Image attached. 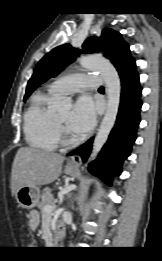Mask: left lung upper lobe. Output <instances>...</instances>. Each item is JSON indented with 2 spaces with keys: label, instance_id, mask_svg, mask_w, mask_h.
<instances>
[{
  "label": "left lung upper lobe",
  "instance_id": "left-lung-upper-lobe-1",
  "mask_svg": "<svg viewBox=\"0 0 162 261\" xmlns=\"http://www.w3.org/2000/svg\"><path fill=\"white\" fill-rule=\"evenodd\" d=\"M82 48L85 52H101L109 59L119 72L127 64L134 61L130 56L128 44L122 39L121 34L110 29H103L100 37L88 38ZM81 51L70 44H64L52 49L36 65L34 73L28 81L24 101L43 82L55 77L60 71L72 63Z\"/></svg>",
  "mask_w": 162,
  "mask_h": 261
}]
</instances>
